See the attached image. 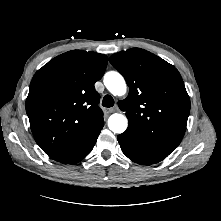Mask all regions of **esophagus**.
<instances>
[{"instance_id":"obj_1","label":"esophagus","mask_w":221,"mask_h":221,"mask_svg":"<svg viewBox=\"0 0 221 221\" xmlns=\"http://www.w3.org/2000/svg\"><path fill=\"white\" fill-rule=\"evenodd\" d=\"M118 111H119V109L117 106L108 109L109 113L118 112Z\"/></svg>"}]
</instances>
